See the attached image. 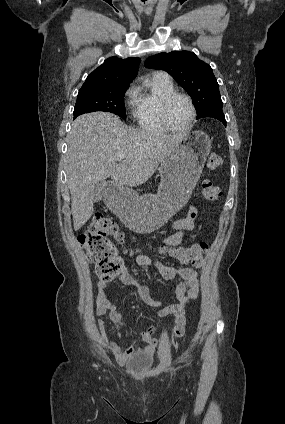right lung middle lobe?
I'll return each instance as SVG.
<instances>
[{
    "instance_id": "right-lung-middle-lobe-1",
    "label": "right lung middle lobe",
    "mask_w": 285,
    "mask_h": 424,
    "mask_svg": "<svg viewBox=\"0 0 285 424\" xmlns=\"http://www.w3.org/2000/svg\"><path fill=\"white\" fill-rule=\"evenodd\" d=\"M129 84L81 88L74 107V118L94 112L105 111L126 118L124 94Z\"/></svg>"
}]
</instances>
